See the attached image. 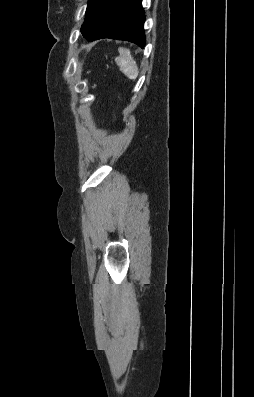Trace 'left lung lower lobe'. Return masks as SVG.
<instances>
[{
  "instance_id": "1",
  "label": "left lung lower lobe",
  "mask_w": 254,
  "mask_h": 397,
  "mask_svg": "<svg viewBox=\"0 0 254 397\" xmlns=\"http://www.w3.org/2000/svg\"><path fill=\"white\" fill-rule=\"evenodd\" d=\"M144 21L141 0H109L98 26L86 39L127 40L144 48Z\"/></svg>"
}]
</instances>
